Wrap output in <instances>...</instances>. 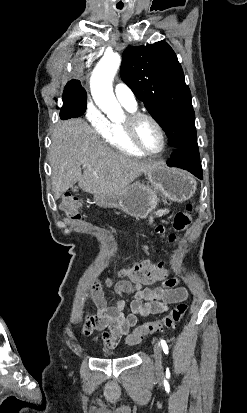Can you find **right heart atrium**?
Returning <instances> with one entry per match:
<instances>
[{"mask_svg": "<svg viewBox=\"0 0 247 413\" xmlns=\"http://www.w3.org/2000/svg\"><path fill=\"white\" fill-rule=\"evenodd\" d=\"M85 107L91 110H85V119H90L95 133H106L109 121L105 118V112L102 105H94L92 100L85 102Z\"/></svg>", "mask_w": 247, "mask_h": 413, "instance_id": "obj_1", "label": "right heart atrium"}]
</instances>
